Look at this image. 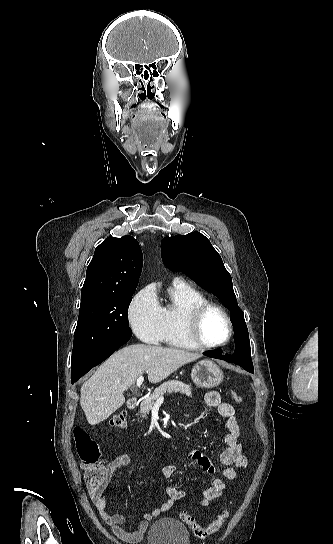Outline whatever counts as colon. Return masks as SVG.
I'll list each match as a JSON object with an SVG mask.
<instances>
[{
	"label": "colon",
	"instance_id": "obj_1",
	"mask_svg": "<svg viewBox=\"0 0 333 544\" xmlns=\"http://www.w3.org/2000/svg\"><path fill=\"white\" fill-rule=\"evenodd\" d=\"M231 396L236 403L242 402L241 395L232 391ZM110 424L118 429H123L127 425V416L124 411L113 415ZM74 440L78 456L84 468L85 482L90 490L100 488L106 480L105 466L102 462L101 450L97 442L81 427L74 429ZM229 516L227 509L222 510L218 516L208 525L199 524L196 519L188 512H182L180 518L190 527L193 534L199 539H206L215 535L226 522Z\"/></svg>",
	"mask_w": 333,
	"mask_h": 544
}]
</instances>
